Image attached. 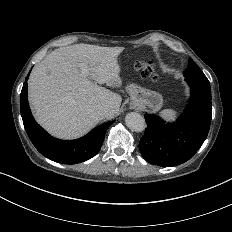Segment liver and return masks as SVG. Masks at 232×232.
I'll return each mask as SVG.
<instances>
[{
	"label": "liver",
	"instance_id": "liver-1",
	"mask_svg": "<svg viewBox=\"0 0 232 232\" xmlns=\"http://www.w3.org/2000/svg\"><path fill=\"white\" fill-rule=\"evenodd\" d=\"M124 49L78 44L46 56L28 81L38 122L59 137L72 138L118 113L121 96L99 85L122 87L119 57ZM81 63L89 66L88 75L81 73ZM104 106L110 113L102 114Z\"/></svg>",
	"mask_w": 232,
	"mask_h": 232
}]
</instances>
